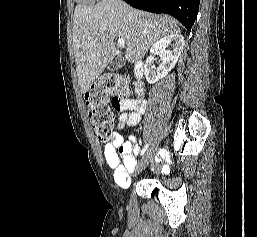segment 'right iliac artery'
<instances>
[{"instance_id": "right-iliac-artery-1", "label": "right iliac artery", "mask_w": 257, "mask_h": 237, "mask_svg": "<svg viewBox=\"0 0 257 237\" xmlns=\"http://www.w3.org/2000/svg\"><path fill=\"white\" fill-rule=\"evenodd\" d=\"M148 146H149V144H146V145L142 148V150H141V155H144L145 151L148 149ZM159 153H160V155H161L162 157L168 155V152H167L166 150H164V149L160 150Z\"/></svg>"}]
</instances>
